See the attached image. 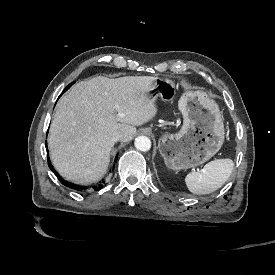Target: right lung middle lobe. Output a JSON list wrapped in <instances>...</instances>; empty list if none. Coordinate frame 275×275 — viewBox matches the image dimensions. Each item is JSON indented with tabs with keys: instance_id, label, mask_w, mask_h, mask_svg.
<instances>
[{
	"instance_id": "obj_1",
	"label": "right lung middle lobe",
	"mask_w": 275,
	"mask_h": 275,
	"mask_svg": "<svg viewBox=\"0 0 275 275\" xmlns=\"http://www.w3.org/2000/svg\"><path fill=\"white\" fill-rule=\"evenodd\" d=\"M74 82H72L71 84H69L66 88H65V90L64 91H66L67 89H69L70 88V86L73 84Z\"/></svg>"
}]
</instances>
